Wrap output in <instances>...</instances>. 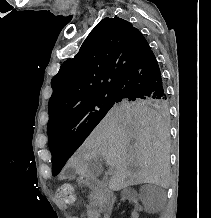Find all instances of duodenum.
<instances>
[{
	"label": "duodenum",
	"mask_w": 211,
	"mask_h": 218,
	"mask_svg": "<svg viewBox=\"0 0 211 218\" xmlns=\"http://www.w3.org/2000/svg\"><path fill=\"white\" fill-rule=\"evenodd\" d=\"M85 184L96 190L99 193L100 205L99 211L103 218H109L112 212L113 206L116 201L114 192L107 186V184L91 174L83 175Z\"/></svg>",
	"instance_id": "obj_1"
}]
</instances>
